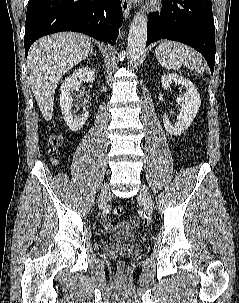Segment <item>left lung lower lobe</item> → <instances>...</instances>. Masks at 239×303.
<instances>
[{
  "label": "left lung lower lobe",
  "mask_w": 239,
  "mask_h": 303,
  "mask_svg": "<svg viewBox=\"0 0 239 303\" xmlns=\"http://www.w3.org/2000/svg\"><path fill=\"white\" fill-rule=\"evenodd\" d=\"M161 13L148 17L146 46L160 39L179 41L199 51L213 74L215 26L211 0H163Z\"/></svg>",
  "instance_id": "0a47b994"
}]
</instances>
